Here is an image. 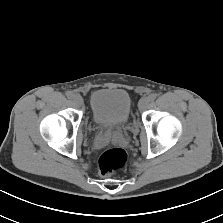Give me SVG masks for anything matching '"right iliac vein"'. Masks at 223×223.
<instances>
[{"label": "right iliac vein", "instance_id": "right-iliac-vein-1", "mask_svg": "<svg viewBox=\"0 0 223 223\" xmlns=\"http://www.w3.org/2000/svg\"><path fill=\"white\" fill-rule=\"evenodd\" d=\"M73 102L76 105L81 106L83 104V98L80 95L76 94L73 96Z\"/></svg>", "mask_w": 223, "mask_h": 223}]
</instances>
